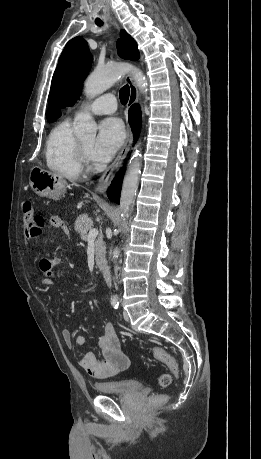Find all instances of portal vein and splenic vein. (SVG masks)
I'll return each mask as SVG.
<instances>
[{"instance_id":"1","label":"portal vein and splenic vein","mask_w":261,"mask_h":459,"mask_svg":"<svg viewBox=\"0 0 261 459\" xmlns=\"http://www.w3.org/2000/svg\"><path fill=\"white\" fill-rule=\"evenodd\" d=\"M97 235H98V229H96V228L90 229L89 230V234H88V240L96 238Z\"/></svg>"}]
</instances>
